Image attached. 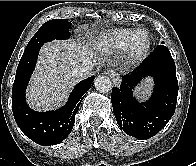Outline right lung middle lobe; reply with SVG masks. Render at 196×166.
<instances>
[{"label": "right lung middle lobe", "mask_w": 196, "mask_h": 166, "mask_svg": "<svg viewBox=\"0 0 196 166\" xmlns=\"http://www.w3.org/2000/svg\"><path fill=\"white\" fill-rule=\"evenodd\" d=\"M71 23L66 19H53L44 23L29 41L26 49L42 46L44 43L54 39H68Z\"/></svg>", "instance_id": "obj_1"}]
</instances>
